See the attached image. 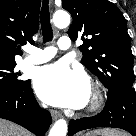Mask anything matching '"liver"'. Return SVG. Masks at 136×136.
<instances>
[{
	"mask_svg": "<svg viewBox=\"0 0 136 136\" xmlns=\"http://www.w3.org/2000/svg\"><path fill=\"white\" fill-rule=\"evenodd\" d=\"M0 136H31V134L19 125L0 119Z\"/></svg>",
	"mask_w": 136,
	"mask_h": 136,
	"instance_id": "obj_1",
	"label": "liver"
}]
</instances>
